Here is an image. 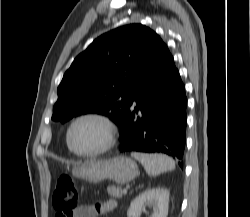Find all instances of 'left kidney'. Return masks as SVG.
Listing matches in <instances>:
<instances>
[{
    "label": "left kidney",
    "mask_w": 250,
    "mask_h": 217,
    "mask_svg": "<svg viewBox=\"0 0 250 217\" xmlns=\"http://www.w3.org/2000/svg\"><path fill=\"white\" fill-rule=\"evenodd\" d=\"M145 205L153 207L151 217H167L169 192L160 187L145 190L131 202L127 217H139Z\"/></svg>",
    "instance_id": "1"
}]
</instances>
